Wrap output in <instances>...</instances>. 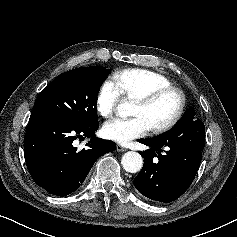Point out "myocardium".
Masks as SVG:
<instances>
[{"mask_svg":"<svg viewBox=\"0 0 237 237\" xmlns=\"http://www.w3.org/2000/svg\"><path fill=\"white\" fill-rule=\"evenodd\" d=\"M168 94H175L178 97L177 109L174 115L169 120H167L166 122L162 124L151 127L150 132L152 134L164 133L170 130L171 128H173L178 123L186 107V96L181 89L170 86V87H161V88L154 89L136 99V102L140 104L151 105L155 101H157L159 98Z\"/></svg>","mask_w":237,"mask_h":237,"instance_id":"f54148a6","label":"myocardium"}]
</instances>
